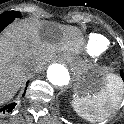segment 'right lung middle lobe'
<instances>
[{"instance_id":"obj_1","label":"right lung middle lobe","mask_w":124,"mask_h":124,"mask_svg":"<svg viewBox=\"0 0 124 124\" xmlns=\"http://www.w3.org/2000/svg\"><path fill=\"white\" fill-rule=\"evenodd\" d=\"M19 18L21 17L20 12L17 11H7L0 15V18Z\"/></svg>"}]
</instances>
